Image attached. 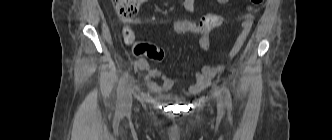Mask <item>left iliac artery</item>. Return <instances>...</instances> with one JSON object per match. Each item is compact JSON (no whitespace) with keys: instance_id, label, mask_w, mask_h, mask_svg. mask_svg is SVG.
Masks as SVG:
<instances>
[{"instance_id":"44dca946","label":"left iliac artery","mask_w":332,"mask_h":140,"mask_svg":"<svg viewBox=\"0 0 332 140\" xmlns=\"http://www.w3.org/2000/svg\"><path fill=\"white\" fill-rule=\"evenodd\" d=\"M225 96H226V103L229 109L232 108V100L229 89L225 87Z\"/></svg>"}]
</instances>
